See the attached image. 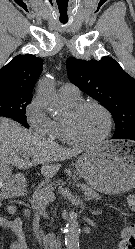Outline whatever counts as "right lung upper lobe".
<instances>
[{"label":"right lung upper lobe","mask_w":135,"mask_h":249,"mask_svg":"<svg viewBox=\"0 0 135 249\" xmlns=\"http://www.w3.org/2000/svg\"><path fill=\"white\" fill-rule=\"evenodd\" d=\"M42 65L43 60L34 55L15 56L0 69V93L31 95Z\"/></svg>","instance_id":"1"}]
</instances>
